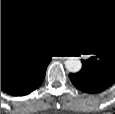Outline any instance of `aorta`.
Here are the masks:
<instances>
[{
  "label": "aorta",
  "instance_id": "1",
  "mask_svg": "<svg viewBox=\"0 0 115 114\" xmlns=\"http://www.w3.org/2000/svg\"><path fill=\"white\" fill-rule=\"evenodd\" d=\"M65 67L69 72L77 73L82 68L81 61L76 57H70L65 62Z\"/></svg>",
  "mask_w": 115,
  "mask_h": 114
}]
</instances>
